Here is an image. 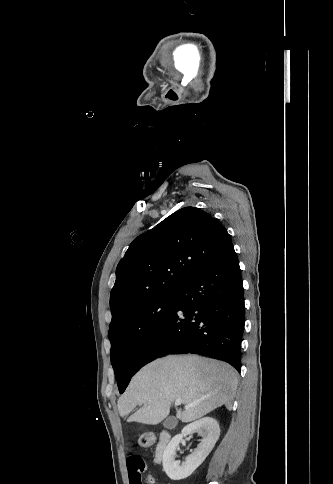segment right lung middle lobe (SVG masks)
Here are the masks:
<instances>
[{"instance_id":"obj_1","label":"right lung middle lobe","mask_w":333,"mask_h":484,"mask_svg":"<svg viewBox=\"0 0 333 484\" xmlns=\"http://www.w3.org/2000/svg\"><path fill=\"white\" fill-rule=\"evenodd\" d=\"M179 291L153 297L110 324L111 363L119 392L126 389L142 348L174 309Z\"/></svg>"}]
</instances>
